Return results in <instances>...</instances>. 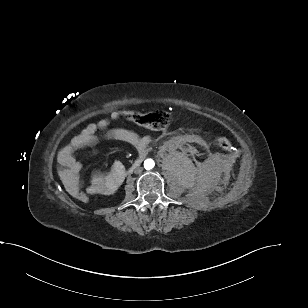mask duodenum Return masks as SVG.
I'll list each match as a JSON object with an SVG mask.
<instances>
[{
    "label": "duodenum",
    "mask_w": 308,
    "mask_h": 308,
    "mask_svg": "<svg viewBox=\"0 0 308 308\" xmlns=\"http://www.w3.org/2000/svg\"><path fill=\"white\" fill-rule=\"evenodd\" d=\"M139 161H136L133 166L128 170V173H130L135 167H137L139 165Z\"/></svg>",
    "instance_id": "duodenum-1"
}]
</instances>
